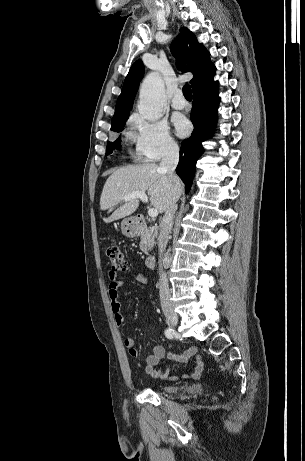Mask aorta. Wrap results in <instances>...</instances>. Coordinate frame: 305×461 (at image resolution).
Here are the masks:
<instances>
[{
	"label": "aorta",
	"mask_w": 305,
	"mask_h": 461,
	"mask_svg": "<svg viewBox=\"0 0 305 461\" xmlns=\"http://www.w3.org/2000/svg\"><path fill=\"white\" fill-rule=\"evenodd\" d=\"M165 100V87L160 74H148L140 88L139 113L148 121H157L162 117Z\"/></svg>",
	"instance_id": "obj_1"
}]
</instances>
